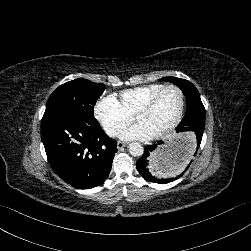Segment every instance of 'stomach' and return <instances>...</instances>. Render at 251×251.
<instances>
[{"instance_id": "stomach-1", "label": "stomach", "mask_w": 251, "mask_h": 251, "mask_svg": "<svg viewBox=\"0 0 251 251\" xmlns=\"http://www.w3.org/2000/svg\"><path fill=\"white\" fill-rule=\"evenodd\" d=\"M192 152V142L186 135H175L171 141L158 154L152 165L158 171L166 174L178 173L183 167V160Z\"/></svg>"}]
</instances>
